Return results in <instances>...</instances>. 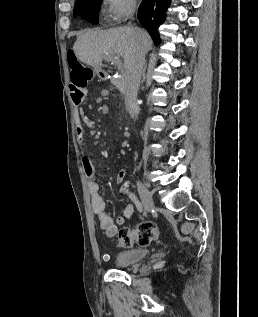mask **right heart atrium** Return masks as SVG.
Returning <instances> with one entry per match:
<instances>
[{
	"instance_id": "1",
	"label": "right heart atrium",
	"mask_w": 258,
	"mask_h": 317,
	"mask_svg": "<svg viewBox=\"0 0 258 317\" xmlns=\"http://www.w3.org/2000/svg\"><path fill=\"white\" fill-rule=\"evenodd\" d=\"M134 0H108L105 17L111 26H119L135 10Z\"/></svg>"
}]
</instances>
